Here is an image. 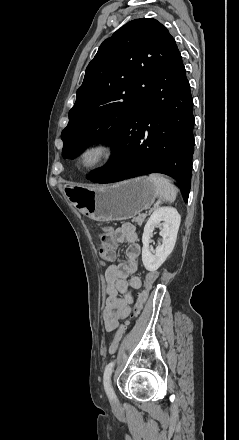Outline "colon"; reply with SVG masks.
Wrapping results in <instances>:
<instances>
[{"mask_svg": "<svg viewBox=\"0 0 239 440\" xmlns=\"http://www.w3.org/2000/svg\"><path fill=\"white\" fill-rule=\"evenodd\" d=\"M101 243L102 245L100 247V257L104 262H107L111 259L115 247L112 230L110 228L103 229V232L101 234ZM157 277H158L157 272H150L147 275L145 280V287L141 292V294L139 295L138 300L134 306L133 316H137L141 313ZM128 325H129V320L125 321L123 324L119 326L108 350L110 354H113L117 351L119 343L123 335L125 334Z\"/></svg>", "mask_w": 239, "mask_h": 440, "instance_id": "5ec220e1", "label": "colon"}]
</instances>
